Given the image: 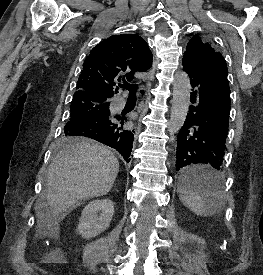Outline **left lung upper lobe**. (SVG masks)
Listing matches in <instances>:
<instances>
[{"instance_id":"5c2ea615","label":"left lung upper lobe","mask_w":263,"mask_h":275,"mask_svg":"<svg viewBox=\"0 0 263 275\" xmlns=\"http://www.w3.org/2000/svg\"><path fill=\"white\" fill-rule=\"evenodd\" d=\"M194 59L202 62H218L226 65L222 55L217 52L210 43L202 40L198 36H194L188 43L183 61Z\"/></svg>"}]
</instances>
